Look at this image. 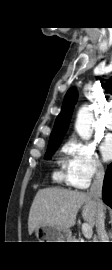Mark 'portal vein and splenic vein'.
<instances>
[{"mask_svg": "<svg viewBox=\"0 0 112 270\" xmlns=\"http://www.w3.org/2000/svg\"><path fill=\"white\" fill-rule=\"evenodd\" d=\"M82 232L87 239H90L92 237V227L88 223L82 224Z\"/></svg>", "mask_w": 112, "mask_h": 270, "instance_id": "1", "label": "portal vein and splenic vein"}]
</instances>
